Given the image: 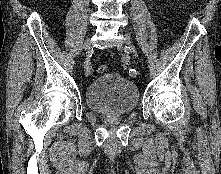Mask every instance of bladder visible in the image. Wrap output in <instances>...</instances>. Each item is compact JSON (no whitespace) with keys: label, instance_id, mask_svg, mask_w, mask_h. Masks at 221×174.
<instances>
[{"label":"bladder","instance_id":"bladder-1","mask_svg":"<svg viewBox=\"0 0 221 174\" xmlns=\"http://www.w3.org/2000/svg\"><path fill=\"white\" fill-rule=\"evenodd\" d=\"M90 109L99 113L124 114L139 104L137 86L118 73H105L93 80L85 92Z\"/></svg>","mask_w":221,"mask_h":174}]
</instances>
